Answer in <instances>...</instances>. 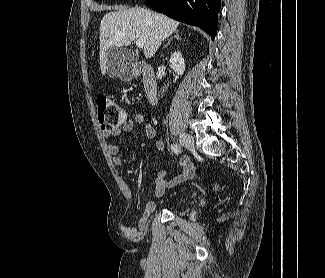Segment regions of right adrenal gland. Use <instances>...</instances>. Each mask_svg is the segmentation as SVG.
Listing matches in <instances>:
<instances>
[{"mask_svg":"<svg viewBox=\"0 0 325 278\" xmlns=\"http://www.w3.org/2000/svg\"><path fill=\"white\" fill-rule=\"evenodd\" d=\"M173 38H175L177 40L180 39L178 31L175 32V35L168 40V43L164 47H166L167 45H169Z\"/></svg>","mask_w":325,"mask_h":278,"instance_id":"1","label":"right adrenal gland"}]
</instances>
